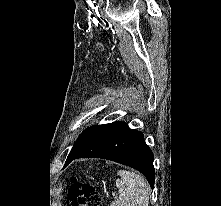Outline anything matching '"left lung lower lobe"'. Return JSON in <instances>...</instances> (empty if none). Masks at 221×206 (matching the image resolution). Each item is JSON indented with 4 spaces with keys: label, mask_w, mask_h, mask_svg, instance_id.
<instances>
[{
    "label": "left lung lower lobe",
    "mask_w": 221,
    "mask_h": 206,
    "mask_svg": "<svg viewBox=\"0 0 221 206\" xmlns=\"http://www.w3.org/2000/svg\"><path fill=\"white\" fill-rule=\"evenodd\" d=\"M103 158L130 166L148 179L154 187L153 154L140 131L130 129L124 122L111 123L88 146L66 160L67 166L77 158Z\"/></svg>",
    "instance_id": "0a47b994"
}]
</instances>
